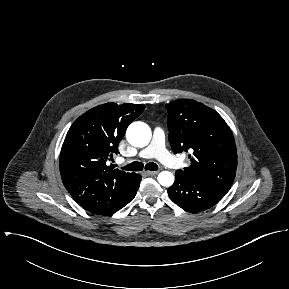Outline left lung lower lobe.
I'll return each mask as SVG.
<instances>
[{
    "mask_svg": "<svg viewBox=\"0 0 289 289\" xmlns=\"http://www.w3.org/2000/svg\"><path fill=\"white\" fill-rule=\"evenodd\" d=\"M227 192L179 171L175 174L174 184L168 189L169 197L182 209L191 213L213 207Z\"/></svg>",
    "mask_w": 289,
    "mask_h": 289,
    "instance_id": "left-lung-lower-lobe-1",
    "label": "left lung lower lobe"
}]
</instances>
